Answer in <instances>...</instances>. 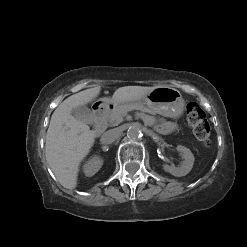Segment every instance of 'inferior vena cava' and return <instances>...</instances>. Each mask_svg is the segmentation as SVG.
<instances>
[{
  "instance_id": "obj_1",
  "label": "inferior vena cava",
  "mask_w": 247,
  "mask_h": 247,
  "mask_svg": "<svg viewBox=\"0 0 247 247\" xmlns=\"http://www.w3.org/2000/svg\"><path fill=\"white\" fill-rule=\"evenodd\" d=\"M121 134L120 129L118 128H114V129H110L108 131H106L102 136H101V143L108 145V144H112Z\"/></svg>"
}]
</instances>
